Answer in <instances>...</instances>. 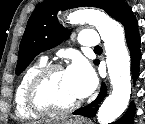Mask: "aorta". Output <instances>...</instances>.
<instances>
[{
    "label": "aorta",
    "instance_id": "762f6f07",
    "mask_svg": "<svg viewBox=\"0 0 145 124\" xmlns=\"http://www.w3.org/2000/svg\"><path fill=\"white\" fill-rule=\"evenodd\" d=\"M68 20L72 24L94 25L104 42L112 92L100 106L97 120L99 124L112 123L126 110L131 96L130 56L124 28L104 12L94 9L75 11Z\"/></svg>",
    "mask_w": 145,
    "mask_h": 124
}]
</instances>
